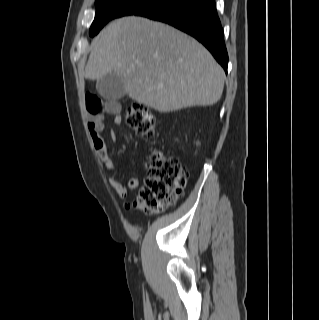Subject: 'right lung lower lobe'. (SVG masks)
<instances>
[{
  "label": "right lung lower lobe",
  "instance_id": "1",
  "mask_svg": "<svg viewBox=\"0 0 319 320\" xmlns=\"http://www.w3.org/2000/svg\"><path fill=\"white\" fill-rule=\"evenodd\" d=\"M137 15L168 23L193 36L227 72L228 54L215 0H168Z\"/></svg>",
  "mask_w": 319,
  "mask_h": 320
}]
</instances>
